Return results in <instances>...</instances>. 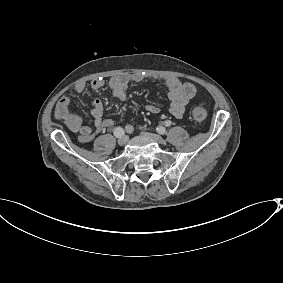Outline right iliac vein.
Masks as SVG:
<instances>
[{"mask_svg": "<svg viewBox=\"0 0 283 283\" xmlns=\"http://www.w3.org/2000/svg\"><path fill=\"white\" fill-rule=\"evenodd\" d=\"M128 141L127 136H122L118 139V145L124 146Z\"/></svg>", "mask_w": 283, "mask_h": 283, "instance_id": "63e3f726", "label": "right iliac vein"}]
</instances>
